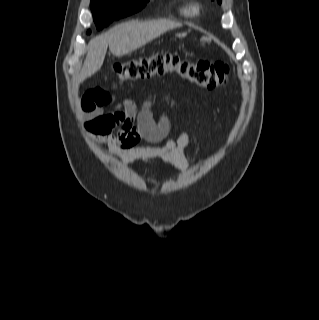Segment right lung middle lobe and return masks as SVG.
Segmentation results:
<instances>
[{"mask_svg":"<svg viewBox=\"0 0 319 320\" xmlns=\"http://www.w3.org/2000/svg\"><path fill=\"white\" fill-rule=\"evenodd\" d=\"M149 0H91L90 7L98 30L145 7ZM90 33V31H88Z\"/></svg>","mask_w":319,"mask_h":320,"instance_id":"obj_1","label":"right lung middle lobe"}]
</instances>
